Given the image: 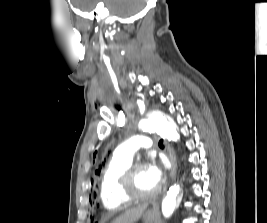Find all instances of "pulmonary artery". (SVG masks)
<instances>
[{"label": "pulmonary artery", "instance_id": "1", "mask_svg": "<svg viewBox=\"0 0 267 223\" xmlns=\"http://www.w3.org/2000/svg\"><path fill=\"white\" fill-rule=\"evenodd\" d=\"M152 146L151 137L148 134H141L131 137L121 143L114 151V155L127 160H132L134 154L140 147L147 148Z\"/></svg>", "mask_w": 267, "mask_h": 223}]
</instances>
